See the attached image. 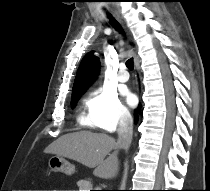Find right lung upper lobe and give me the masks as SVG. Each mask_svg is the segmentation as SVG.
Listing matches in <instances>:
<instances>
[{
  "mask_svg": "<svg viewBox=\"0 0 210 191\" xmlns=\"http://www.w3.org/2000/svg\"><path fill=\"white\" fill-rule=\"evenodd\" d=\"M99 59L89 52L82 60L72 88V98L81 95L94 81L99 72Z\"/></svg>",
  "mask_w": 210,
  "mask_h": 191,
  "instance_id": "obj_1",
  "label": "right lung upper lobe"
}]
</instances>
